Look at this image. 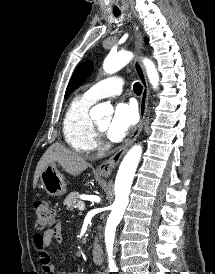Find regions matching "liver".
Returning <instances> with one entry per match:
<instances>
[{
    "mask_svg": "<svg viewBox=\"0 0 215 274\" xmlns=\"http://www.w3.org/2000/svg\"><path fill=\"white\" fill-rule=\"evenodd\" d=\"M51 162H58L67 173L73 176L80 175L90 165L76 152L69 150L59 143H55L46 150L37 164L33 179L34 188L37 185L42 171Z\"/></svg>",
    "mask_w": 215,
    "mask_h": 274,
    "instance_id": "obj_1",
    "label": "liver"
}]
</instances>
